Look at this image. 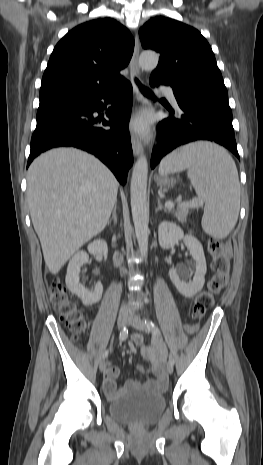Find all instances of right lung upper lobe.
<instances>
[{"instance_id":"cb5924a9","label":"right lung upper lobe","mask_w":263,"mask_h":465,"mask_svg":"<svg viewBox=\"0 0 263 465\" xmlns=\"http://www.w3.org/2000/svg\"><path fill=\"white\" fill-rule=\"evenodd\" d=\"M133 50L128 29L111 18L78 25L55 46L42 78L40 101L115 88L125 81L119 72Z\"/></svg>"}]
</instances>
